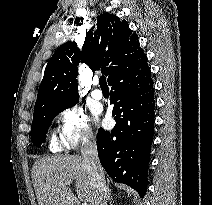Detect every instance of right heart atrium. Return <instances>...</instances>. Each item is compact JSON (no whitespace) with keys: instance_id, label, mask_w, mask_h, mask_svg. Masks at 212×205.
I'll use <instances>...</instances> for the list:
<instances>
[{"instance_id":"1","label":"right heart atrium","mask_w":212,"mask_h":205,"mask_svg":"<svg viewBox=\"0 0 212 205\" xmlns=\"http://www.w3.org/2000/svg\"><path fill=\"white\" fill-rule=\"evenodd\" d=\"M57 134L62 144L69 149L90 143L94 139L88 118L78 106H69L60 111Z\"/></svg>"}]
</instances>
